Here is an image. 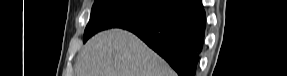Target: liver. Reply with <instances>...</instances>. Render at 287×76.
<instances>
[{"mask_svg": "<svg viewBox=\"0 0 287 76\" xmlns=\"http://www.w3.org/2000/svg\"><path fill=\"white\" fill-rule=\"evenodd\" d=\"M76 76H176L170 66L134 34L111 29L92 37L79 52Z\"/></svg>", "mask_w": 287, "mask_h": 76, "instance_id": "obj_1", "label": "liver"}]
</instances>
